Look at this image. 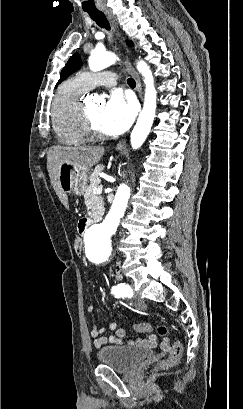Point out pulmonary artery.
Returning <instances> with one entry per match:
<instances>
[{
  "instance_id": "pulmonary-artery-1",
  "label": "pulmonary artery",
  "mask_w": 243,
  "mask_h": 409,
  "mask_svg": "<svg viewBox=\"0 0 243 409\" xmlns=\"http://www.w3.org/2000/svg\"><path fill=\"white\" fill-rule=\"evenodd\" d=\"M79 77L89 88L96 86L113 87L117 83L116 74L111 71L99 73L83 72L79 74Z\"/></svg>"
}]
</instances>
